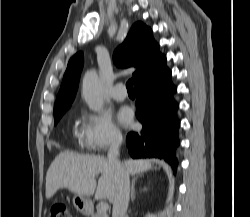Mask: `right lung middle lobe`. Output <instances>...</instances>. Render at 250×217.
<instances>
[{"label":"right lung middle lobe","instance_id":"dd1d6c3e","mask_svg":"<svg viewBox=\"0 0 250 217\" xmlns=\"http://www.w3.org/2000/svg\"><path fill=\"white\" fill-rule=\"evenodd\" d=\"M65 113L64 112H59L57 114H54V121H55V125L57 124V122L59 121V119L62 117V115Z\"/></svg>","mask_w":250,"mask_h":217}]
</instances>
